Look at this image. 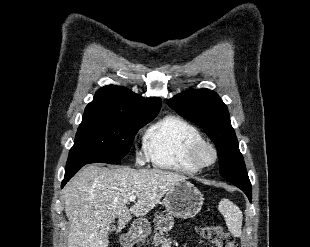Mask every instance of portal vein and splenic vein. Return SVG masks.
Here are the masks:
<instances>
[{
    "mask_svg": "<svg viewBox=\"0 0 310 247\" xmlns=\"http://www.w3.org/2000/svg\"><path fill=\"white\" fill-rule=\"evenodd\" d=\"M136 200V196L135 195H132L129 197V201L130 202H134Z\"/></svg>",
    "mask_w": 310,
    "mask_h": 247,
    "instance_id": "18ae733b",
    "label": "portal vein and splenic vein"
}]
</instances>
